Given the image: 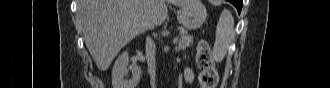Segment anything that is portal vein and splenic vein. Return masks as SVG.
<instances>
[{
	"label": "portal vein and splenic vein",
	"instance_id": "1",
	"mask_svg": "<svg viewBox=\"0 0 330 88\" xmlns=\"http://www.w3.org/2000/svg\"><path fill=\"white\" fill-rule=\"evenodd\" d=\"M177 42H178V39L175 38V39L173 40V44H176Z\"/></svg>",
	"mask_w": 330,
	"mask_h": 88
}]
</instances>
